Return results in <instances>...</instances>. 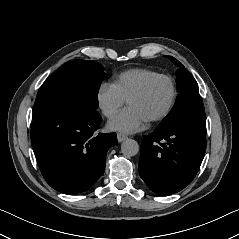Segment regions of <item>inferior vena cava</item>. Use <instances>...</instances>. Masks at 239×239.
Returning <instances> with one entry per match:
<instances>
[{"label":"inferior vena cava","instance_id":"1","mask_svg":"<svg viewBox=\"0 0 239 239\" xmlns=\"http://www.w3.org/2000/svg\"><path fill=\"white\" fill-rule=\"evenodd\" d=\"M110 114H111V111H110V110H105V111H104V115H105V116H109Z\"/></svg>","mask_w":239,"mask_h":239}]
</instances>
